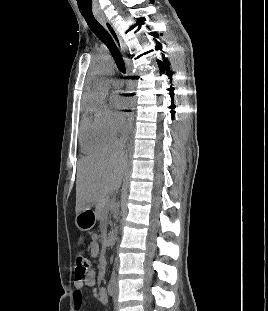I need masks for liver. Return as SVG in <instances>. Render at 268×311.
<instances>
[{"label":"liver","mask_w":268,"mask_h":311,"mask_svg":"<svg viewBox=\"0 0 268 311\" xmlns=\"http://www.w3.org/2000/svg\"><path fill=\"white\" fill-rule=\"evenodd\" d=\"M125 166L126 156L118 146L82 158L76 179V214L104 199L109 192L118 190Z\"/></svg>","instance_id":"6515ba94"}]
</instances>
